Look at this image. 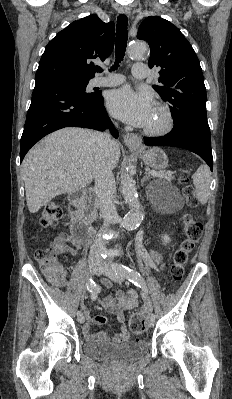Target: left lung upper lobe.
<instances>
[{
    "mask_svg": "<svg viewBox=\"0 0 232 399\" xmlns=\"http://www.w3.org/2000/svg\"><path fill=\"white\" fill-rule=\"evenodd\" d=\"M137 38L149 43V67L160 69V85L153 88L170 104L172 131L211 142L203 73L191 44L175 25L157 16L143 20Z\"/></svg>",
    "mask_w": 232,
    "mask_h": 399,
    "instance_id": "obj_1",
    "label": "left lung upper lobe"
}]
</instances>
